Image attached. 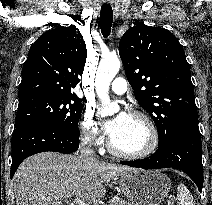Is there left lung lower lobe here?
Segmentation results:
<instances>
[{
  "instance_id": "0a47b994",
  "label": "left lung lower lobe",
  "mask_w": 212,
  "mask_h": 205,
  "mask_svg": "<svg viewBox=\"0 0 212 205\" xmlns=\"http://www.w3.org/2000/svg\"><path fill=\"white\" fill-rule=\"evenodd\" d=\"M198 118L180 124L171 138L150 157L120 163L137 168L160 169L172 167L182 170L196 183L199 191L203 187V165Z\"/></svg>"
}]
</instances>
